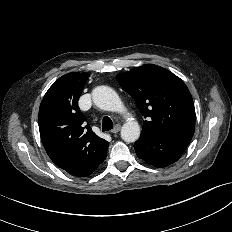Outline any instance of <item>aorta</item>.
Here are the masks:
<instances>
[{
  "instance_id": "aorta-1",
  "label": "aorta",
  "mask_w": 232,
  "mask_h": 232,
  "mask_svg": "<svg viewBox=\"0 0 232 232\" xmlns=\"http://www.w3.org/2000/svg\"><path fill=\"white\" fill-rule=\"evenodd\" d=\"M94 104L102 110L123 112L124 106L118 94L108 86H97L92 91ZM140 136V126L133 119H128L121 129V138L128 142H135Z\"/></svg>"
}]
</instances>
